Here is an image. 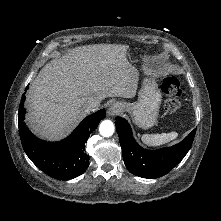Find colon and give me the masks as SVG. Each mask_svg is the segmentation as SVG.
<instances>
[{
  "instance_id": "5ec220e1",
  "label": "colon",
  "mask_w": 221,
  "mask_h": 221,
  "mask_svg": "<svg viewBox=\"0 0 221 221\" xmlns=\"http://www.w3.org/2000/svg\"><path fill=\"white\" fill-rule=\"evenodd\" d=\"M161 89L166 96L164 108L169 113L176 112L181 104L178 97L181 94L180 82L177 78L168 76L163 79Z\"/></svg>"
}]
</instances>
